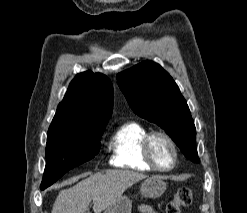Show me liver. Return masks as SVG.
Instances as JSON below:
<instances>
[{
  "mask_svg": "<svg viewBox=\"0 0 247 213\" xmlns=\"http://www.w3.org/2000/svg\"><path fill=\"white\" fill-rule=\"evenodd\" d=\"M147 176L129 170H106L90 175L59 192L51 213H86L93 201L94 213L114 204L125 190Z\"/></svg>",
  "mask_w": 247,
  "mask_h": 213,
  "instance_id": "1",
  "label": "liver"
}]
</instances>
